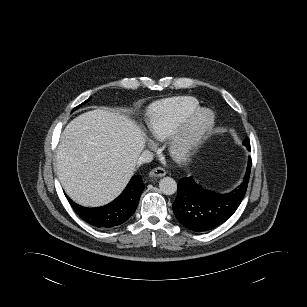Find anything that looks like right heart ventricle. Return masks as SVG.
I'll return each mask as SVG.
<instances>
[{
  "instance_id": "1",
  "label": "right heart ventricle",
  "mask_w": 307,
  "mask_h": 307,
  "mask_svg": "<svg viewBox=\"0 0 307 307\" xmlns=\"http://www.w3.org/2000/svg\"><path fill=\"white\" fill-rule=\"evenodd\" d=\"M198 108L199 101L192 96H176L154 102L147 111L151 136L159 141L170 138Z\"/></svg>"
}]
</instances>
